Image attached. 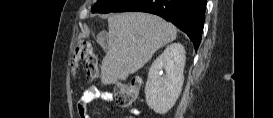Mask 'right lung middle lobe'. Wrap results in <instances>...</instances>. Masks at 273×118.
<instances>
[{"mask_svg": "<svg viewBox=\"0 0 273 118\" xmlns=\"http://www.w3.org/2000/svg\"><path fill=\"white\" fill-rule=\"evenodd\" d=\"M127 0H98L92 7V13H109L114 12Z\"/></svg>", "mask_w": 273, "mask_h": 118, "instance_id": "1", "label": "right lung middle lobe"}]
</instances>
